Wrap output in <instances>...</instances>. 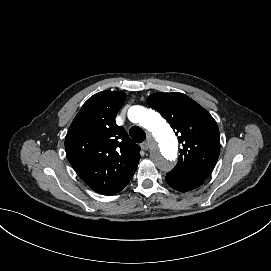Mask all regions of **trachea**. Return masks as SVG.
Here are the masks:
<instances>
[{
  "label": "trachea",
  "instance_id": "3493384b",
  "mask_svg": "<svg viewBox=\"0 0 271 271\" xmlns=\"http://www.w3.org/2000/svg\"><path fill=\"white\" fill-rule=\"evenodd\" d=\"M130 137L136 142V143H142L145 138H146V134L143 131L142 128H140L139 126H132L130 128Z\"/></svg>",
  "mask_w": 271,
  "mask_h": 271
}]
</instances>
